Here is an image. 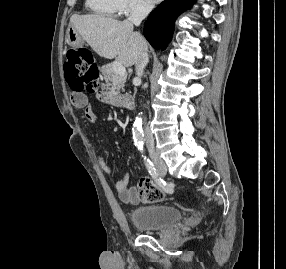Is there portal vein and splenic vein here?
I'll return each instance as SVG.
<instances>
[{
    "mask_svg": "<svg viewBox=\"0 0 286 269\" xmlns=\"http://www.w3.org/2000/svg\"><path fill=\"white\" fill-rule=\"evenodd\" d=\"M113 70L117 73V74H120V75H124L126 74V69L125 67L118 61H115L113 63Z\"/></svg>",
    "mask_w": 286,
    "mask_h": 269,
    "instance_id": "obj_1",
    "label": "portal vein and splenic vein"
}]
</instances>
